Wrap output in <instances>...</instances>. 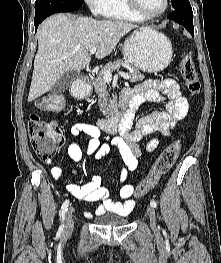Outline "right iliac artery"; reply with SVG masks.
Listing matches in <instances>:
<instances>
[{
    "label": "right iliac artery",
    "instance_id": "82829eb1",
    "mask_svg": "<svg viewBox=\"0 0 221 263\" xmlns=\"http://www.w3.org/2000/svg\"><path fill=\"white\" fill-rule=\"evenodd\" d=\"M68 205H69V200H66L62 204V207H61V217H62L63 221L65 220V214H66V211L68 210ZM63 227H64V225H61L59 229L63 230Z\"/></svg>",
    "mask_w": 221,
    "mask_h": 263
}]
</instances>
